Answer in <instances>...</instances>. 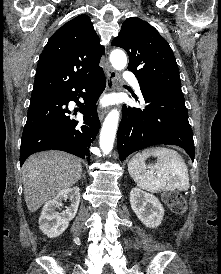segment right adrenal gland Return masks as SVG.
<instances>
[{"instance_id":"2a0ac1e0","label":"right adrenal gland","mask_w":221,"mask_h":274,"mask_svg":"<svg viewBox=\"0 0 221 274\" xmlns=\"http://www.w3.org/2000/svg\"><path fill=\"white\" fill-rule=\"evenodd\" d=\"M82 178H83V179L86 178V177H85V173L82 174L81 179H82Z\"/></svg>"}]
</instances>
